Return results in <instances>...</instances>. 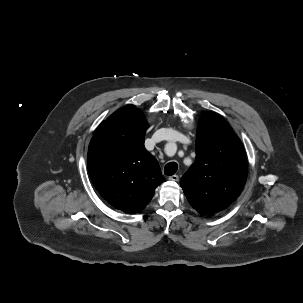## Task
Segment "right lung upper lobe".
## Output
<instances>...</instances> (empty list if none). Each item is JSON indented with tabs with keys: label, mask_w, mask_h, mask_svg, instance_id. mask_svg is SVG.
<instances>
[{
	"label": "right lung upper lobe",
	"mask_w": 303,
	"mask_h": 303,
	"mask_svg": "<svg viewBox=\"0 0 303 303\" xmlns=\"http://www.w3.org/2000/svg\"><path fill=\"white\" fill-rule=\"evenodd\" d=\"M148 127L143 113L126 105L96 129L88 149V171L100 195L114 208L136 213L165 179L144 147Z\"/></svg>",
	"instance_id": "obj_1"
}]
</instances>
